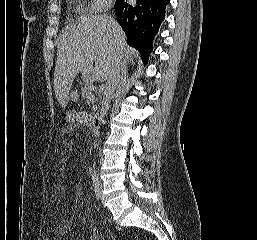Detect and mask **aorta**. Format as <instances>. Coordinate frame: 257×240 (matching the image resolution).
<instances>
[{
  "instance_id": "aorta-1",
  "label": "aorta",
  "mask_w": 257,
  "mask_h": 240,
  "mask_svg": "<svg viewBox=\"0 0 257 240\" xmlns=\"http://www.w3.org/2000/svg\"><path fill=\"white\" fill-rule=\"evenodd\" d=\"M92 171H93V178L96 177V171H95V163L93 164V168H92Z\"/></svg>"
}]
</instances>
